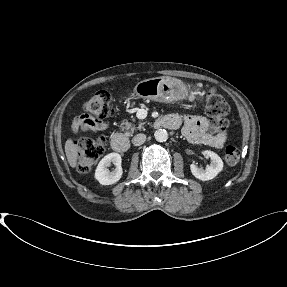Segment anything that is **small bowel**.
Returning a JSON list of instances; mask_svg holds the SVG:
<instances>
[{"instance_id": "1", "label": "small bowel", "mask_w": 287, "mask_h": 287, "mask_svg": "<svg viewBox=\"0 0 287 287\" xmlns=\"http://www.w3.org/2000/svg\"><path fill=\"white\" fill-rule=\"evenodd\" d=\"M166 117L170 118L175 123V128L182 125V131L185 137L194 144H202L212 148H222L227 140L225 132L212 134L209 131V121L200 115H179L169 114ZM73 131H101L107 128V124L88 116H78L72 123Z\"/></svg>"}]
</instances>
